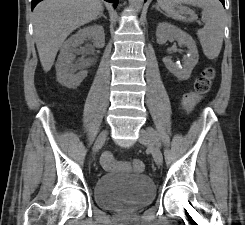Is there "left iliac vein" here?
Masks as SVG:
<instances>
[{"label":"left iliac vein","mask_w":245,"mask_h":225,"mask_svg":"<svg viewBox=\"0 0 245 225\" xmlns=\"http://www.w3.org/2000/svg\"><path fill=\"white\" fill-rule=\"evenodd\" d=\"M154 135H155V132H154ZM139 142L150 148L155 163L157 165H161L163 161L162 153L160 149L157 146H155V144L153 143L152 137L149 134V132H147L144 129H141L140 134H139Z\"/></svg>","instance_id":"4c4485c4"}]
</instances>
